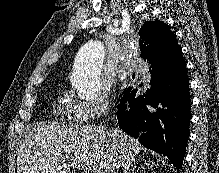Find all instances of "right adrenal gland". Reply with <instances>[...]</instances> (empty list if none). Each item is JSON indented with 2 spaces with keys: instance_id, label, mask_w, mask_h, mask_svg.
<instances>
[{
  "instance_id": "right-adrenal-gland-1",
  "label": "right adrenal gland",
  "mask_w": 219,
  "mask_h": 173,
  "mask_svg": "<svg viewBox=\"0 0 219 173\" xmlns=\"http://www.w3.org/2000/svg\"><path fill=\"white\" fill-rule=\"evenodd\" d=\"M135 171H136V167L133 166L132 162L127 164L123 169V173H134Z\"/></svg>"
}]
</instances>
